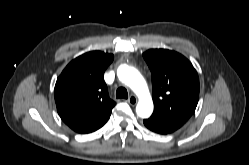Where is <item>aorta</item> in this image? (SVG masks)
<instances>
[{
    "label": "aorta",
    "instance_id": "obj_1",
    "mask_svg": "<svg viewBox=\"0 0 249 165\" xmlns=\"http://www.w3.org/2000/svg\"><path fill=\"white\" fill-rule=\"evenodd\" d=\"M118 77L138 96L137 115L141 118L150 117L154 106L147 83L142 75L133 67L122 66L118 70Z\"/></svg>",
    "mask_w": 249,
    "mask_h": 165
}]
</instances>
